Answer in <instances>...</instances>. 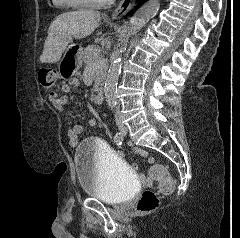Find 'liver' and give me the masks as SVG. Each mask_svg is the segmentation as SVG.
<instances>
[{
    "instance_id": "obj_1",
    "label": "liver",
    "mask_w": 240,
    "mask_h": 238,
    "mask_svg": "<svg viewBox=\"0 0 240 238\" xmlns=\"http://www.w3.org/2000/svg\"><path fill=\"white\" fill-rule=\"evenodd\" d=\"M101 21L100 12L80 9L63 13L55 18L48 29L41 63L58 62L73 38L81 39L90 35Z\"/></svg>"
}]
</instances>
